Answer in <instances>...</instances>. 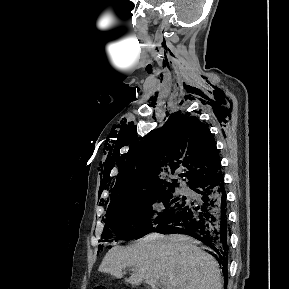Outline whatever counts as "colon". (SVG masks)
<instances>
[{
  "label": "colon",
  "mask_w": 289,
  "mask_h": 289,
  "mask_svg": "<svg viewBox=\"0 0 289 289\" xmlns=\"http://www.w3.org/2000/svg\"><path fill=\"white\" fill-rule=\"evenodd\" d=\"M94 289H104V288L101 287V286H97V287H95Z\"/></svg>",
  "instance_id": "colon-1"
}]
</instances>
